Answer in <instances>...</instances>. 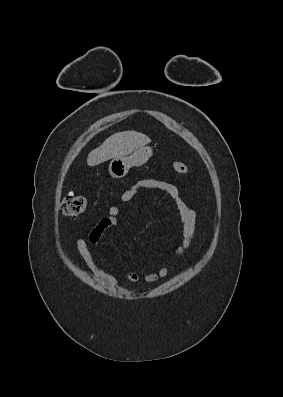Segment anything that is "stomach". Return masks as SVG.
<instances>
[{"label": "stomach", "instance_id": "1", "mask_svg": "<svg viewBox=\"0 0 283 397\" xmlns=\"http://www.w3.org/2000/svg\"><path fill=\"white\" fill-rule=\"evenodd\" d=\"M150 147H142L135 150L128 157L113 158L109 164V173L114 178L126 176L132 166H142L152 156Z\"/></svg>", "mask_w": 283, "mask_h": 397}]
</instances>
